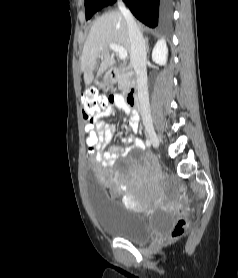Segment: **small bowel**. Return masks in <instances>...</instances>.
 <instances>
[{
  "label": "small bowel",
  "mask_w": 238,
  "mask_h": 278,
  "mask_svg": "<svg viewBox=\"0 0 238 278\" xmlns=\"http://www.w3.org/2000/svg\"><path fill=\"white\" fill-rule=\"evenodd\" d=\"M112 103L119 109L123 110L127 116L129 125L134 134L139 130V117L138 114L130 107L123 96L114 95L112 97ZM114 114L112 106H108L102 113L97 116V120L94 124V130L99 128L103 131V136L100 137V149H98V156L96 160L103 167L111 166L119 157L128 155L130 149H143V143L140 139L136 138L133 134L124 136L121 141L123 144L129 145V149H121L117 146H111L113 136L116 133V124H108L104 121V118ZM89 141V140H86Z\"/></svg>",
  "instance_id": "c3829d8e"
}]
</instances>
